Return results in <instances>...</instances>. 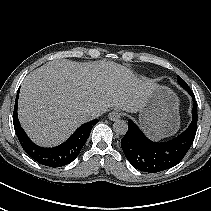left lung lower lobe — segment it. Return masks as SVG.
I'll return each mask as SVG.
<instances>
[{"instance_id":"0a47b994","label":"left lung lower lobe","mask_w":211,"mask_h":211,"mask_svg":"<svg viewBox=\"0 0 211 211\" xmlns=\"http://www.w3.org/2000/svg\"><path fill=\"white\" fill-rule=\"evenodd\" d=\"M181 87L190 94L194 104L189 127L175 139L153 142L132 120H128V131L121 140V147L128 161L136 169L148 173L169 169L177 165L190 149L197 131V103L189 86Z\"/></svg>"}]
</instances>
